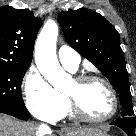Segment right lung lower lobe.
<instances>
[{
    "label": "right lung lower lobe",
    "instance_id": "1",
    "mask_svg": "<svg viewBox=\"0 0 136 136\" xmlns=\"http://www.w3.org/2000/svg\"><path fill=\"white\" fill-rule=\"evenodd\" d=\"M0 113H5V114H8V115H12L18 119H21V120H26L28 119V114H25V113H20V112H12V111H2Z\"/></svg>",
    "mask_w": 136,
    "mask_h": 136
}]
</instances>
